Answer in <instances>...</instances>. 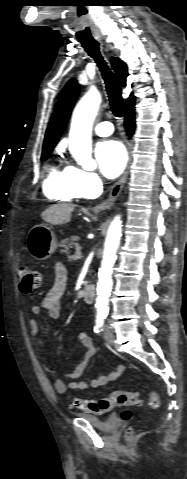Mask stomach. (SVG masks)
<instances>
[{
	"label": "stomach",
	"mask_w": 187,
	"mask_h": 479,
	"mask_svg": "<svg viewBox=\"0 0 187 479\" xmlns=\"http://www.w3.org/2000/svg\"><path fill=\"white\" fill-rule=\"evenodd\" d=\"M56 236L51 227L46 224L34 226L27 236V248L36 260H46L55 251Z\"/></svg>",
	"instance_id": "stomach-1"
}]
</instances>
